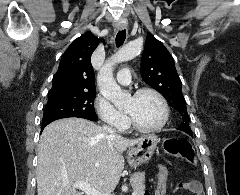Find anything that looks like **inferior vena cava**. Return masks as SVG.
I'll use <instances>...</instances> for the list:
<instances>
[{
  "label": "inferior vena cava",
  "instance_id": "602c4592",
  "mask_svg": "<svg viewBox=\"0 0 240 195\" xmlns=\"http://www.w3.org/2000/svg\"><path fill=\"white\" fill-rule=\"evenodd\" d=\"M103 129H105V131H107L109 137H114V131H113L112 127H109V125H108V127H106V125H104Z\"/></svg>",
  "mask_w": 240,
  "mask_h": 195
}]
</instances>
